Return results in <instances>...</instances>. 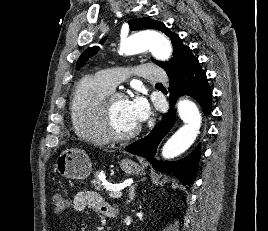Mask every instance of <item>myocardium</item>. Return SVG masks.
I'll return each instance as SVG.
<instances>
[{
  "mask_svg": "<svg viewBox=\"0 0 268 231\" xmlns=\"http://www.w3.org/2000/svg\"><path fill=\"white\" fill-rule=\"evenodd\" d=\"M121 99H127V96L122 91L113 90L104 97L101 103L100 118L102 129L111 140H127L135 137L141 131V127L137 126L131 131L121 132L115 126L113 119V107L115 102Z\"/></svg>",
  "mask_w": 268,
  "mask_h": 231,
  "instance_id": "1",
  "label": "myocardium"
}]
</instances>
